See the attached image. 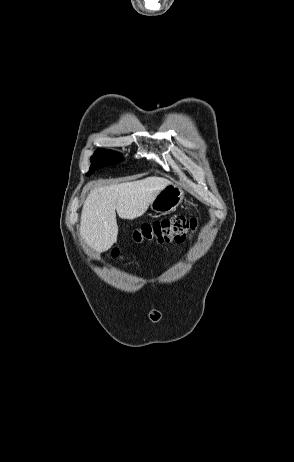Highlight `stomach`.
Here are the masks:
<instances>
[{
    "label": "stomach",
    "instance_id": "stomach-1",
    "mask_svg": "<svg viewBox=\"0 0 294 462\" xmlns=\"http://www.w3.org/2000/svg\"><path fill=\"white\" fill-rule=\"evenodd\" d=\"M183 199V190L170 184L158 192L149 206L153 212L167 214L174 211Z\"/></svg>",
    "mask_w": 294,
    "mask_h": 462
}]
</instances>
